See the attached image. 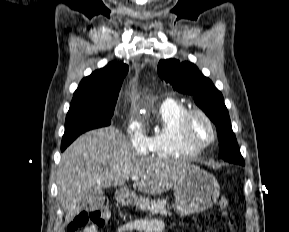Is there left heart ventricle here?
I'll return each instance as SVG.
<instances>
[{"label": "left heart ventricle", "instance_id": "left-heart-ventricle-1", "mask_svg": "<svg viewBox=\"0 0 289 232\" xmlns=\"http://www.w3.org/2000/svg\"><path fill=\"white\" fill-rule=\"evenodd\" d=\"M190 137L198 143L203 144L210 140L211 131L208 124L200 117H194L190 123Z\"/></svg>", "mask_w": 289, "mask_h": 232}]
</instances>
